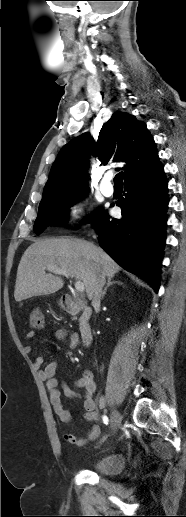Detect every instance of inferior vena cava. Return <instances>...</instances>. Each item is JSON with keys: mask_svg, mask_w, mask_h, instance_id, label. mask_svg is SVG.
Segmentation results:
<instances>
[{"mask_svg": "<svg viewBox=\"0 0 186 517\" xmlns=\"http://www.w3.org/2000/svg\"><path fill=\"white\" fill-rule=\"evenodd\" d=\"M104 284H105V277L103 275H99L94 284V294H93V300H92L93 305L100 303L102 288H103Z\"/></svg>", "mask_w": 186, "mask_h": 517, "instance_id": "1", "label": "inferior vena cava"}]
</instances>
